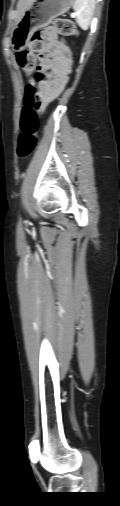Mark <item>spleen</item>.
<instances>
[{"instance_id":"3e777b00","label":"spleen","mask_w":120,"mask_h":506,"mask_svg":"<svg viewBox=\"0 0 120 506\" xmlns=\"http://www.w3.org/2000/svg\"><path fill=\"white\" fill-rule=\"evenodd\" d=\"M73 9L76 12L77 24L83 30H87L93 17L95 0H75Z\"/></svg>"}]
</instances>
